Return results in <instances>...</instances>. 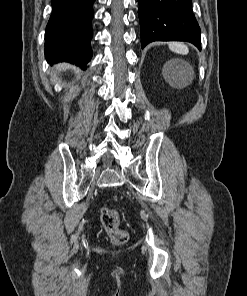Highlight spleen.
Instances as JSON below:
<instances>
[{
	"label": "spleen",
	"instance_id": "3e777b00",
	"mask_svg": "<svg viewBox=\"0 0 247 296\" xmlns=\"http://www.w3.org/2000/svg\"><path fill=\"white\" fill-rule=\"evenodd\" d=\"M169 49L175 53L178 54H187L188 53V47L184 45L183 43L179 42H171L169 43Z\"/></svg>",
	"mask_w": 247,
	"mask_h": 296
}]
</instances>
